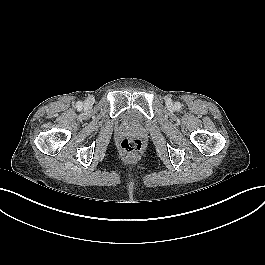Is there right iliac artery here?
<instances>
[{
  "instance_id": "1",
  "label": "right iliac artery",
  "mask_w": 265,
  "mask_h": 265,
  "mask_svg": "<svg viewBox=\"0 0 265 265\" xmlns=\"http://www.w3.org/2000/svg\"><path fill=\"white\" fill-rule=\"evenodd\" d=\"M77 107H78V108H81V107H82V102L78 101V102H77Z\"/></svg>"
}]
</instances>
